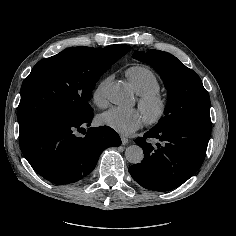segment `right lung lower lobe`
<instances>
[{"label": "right lung lower lobe", "mask_w": 236, "mask_h": 236, "mask_svg": "<svg viewBox=\"0 0 236 236\" xmlns=\"http://www.w3.org/2000/svg\"><path fill=\"white\" fill-rule=\"evenodd\" d=\"M92 119L93 112L80 119H44L20 132L21 151L32 168L48 181L76 182L95 168L104 149L122 143L108 126L88 128Z\"/></svg>", "instance_id": "right-lung-lower-lobe-1"}]
</instances>
